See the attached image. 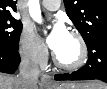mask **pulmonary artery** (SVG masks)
<instances>
[{
    "instance_id": "obj_1",
    "label": "pulmonary artery",
    "mask_w": 107,
    "mask_h": 89,
    "mask_svg": "<svg viewBox=\"0 0 107 89\" xmlns=\"http://www.w3.org/2000/svg\"><path fill=\"white\" fill-rule=\"evenodd\" d=\"M42 5L47 10L55 11L60 6V0H43Z\"/></svg>"
}]
</instances>
